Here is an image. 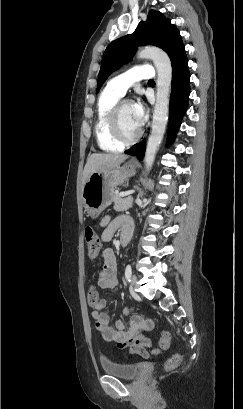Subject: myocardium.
I'll return each mask as SVG.
<instances>
[{
  "label": "myocardium",
  "mask_w": 243,
  "mask_h": 409,
  "mask_svg": "<svg viewBox=\"0 0 243 409\" xmlns=\"http://www.w3.org/2000/svg\"><path fill=\"white\" fill-rule=\"evenodd\" d=\"M126 104H131V102L126 99L119 100L113 107L109 117L110 132L113 138L122 145H129L135 143L142 134V129L139 128V130L131 137H127L124 135L120 126V112L123 106Z\"/></svg>",
  "instance_id": "1"
}]
</instances>
